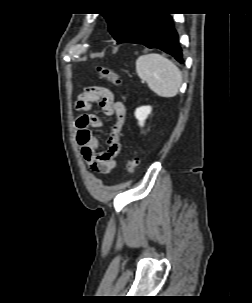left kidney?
Segmentation results:
<instances>
[{
    "mask_svg": "<svg viewBox=\"0 0 252 303\" xmlns=\"http://www.w3.org/2000/svg\"><path fill=\"white\" fill-rule=\"evenodd\" d=\"M151 111V106H142L135 110V117L139 121L140 126L144 125V122L151 113Z\"/></svg>",
    "mask_w": 252,
    "mask_h": 303,
    "instance_id": "obj_1",
    "label": "left kidney"
}]
</instances>
